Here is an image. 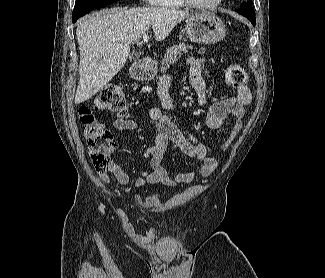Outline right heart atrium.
<instances>
[{
    "label": "right heart atrium",
    "instance_id": "obj_1",
    "mask_svg": "<svg viewBox=\"0 0 325 278\" xmlns=\"http://www.w3.org/2000/svg\"><path fill=\"white\" fill-rule=\"evenodd\" d=\"M144 2H148L150 4H155L157 0H142Z\"/></svg>",
    "mask_w": 325,
    "mask_h": 278
}]
</instances>
